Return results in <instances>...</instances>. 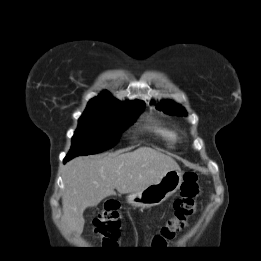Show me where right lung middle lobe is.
Listing matches in <instances>:
<instances>
[{
	"mask_svg": "<svg viewBox=\"0 0 261 261\" xmlns=\"http://www.w3.org/2000/svg\"><path fill=\"white\" fill-rule=\"evenodd\" d=\"M143 102L90 101L79 119L67 156L102 152L117 144L121 133L143 112Z\"/></svg>",
	"mask_w": 261,
	"mask_h": 261,
	"instance_id": "dd1d6c3e",
	"label": "right lung middle lobe"
}]
</instances>
